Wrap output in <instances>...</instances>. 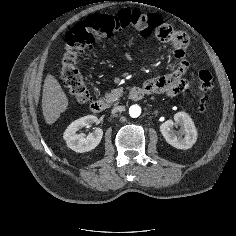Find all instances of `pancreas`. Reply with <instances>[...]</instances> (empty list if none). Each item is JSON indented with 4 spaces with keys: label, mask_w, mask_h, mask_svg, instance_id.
Instances as JSON below:
<instances>
[{
    "label": "pancreas",
    "mask_w": 236,
    "mask_h": 236,
    "mask_svg": "<svg viewBox=\"0 0 236 236\" xmlns=\"http://www.w3.org/2000/svg\"><path fill=\"white\" fill-rule=\"evenodd\" d=\"M122 93H123V88L113 89L105 94L104 100H106L108 103H113L119 99Z\"/></svg>",
    "instance_id": "1"
}]
</instances>
